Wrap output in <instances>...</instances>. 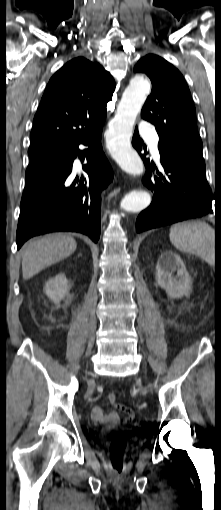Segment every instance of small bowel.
Segmentation results:
<instances>
[{"label":"small bowel","instance_id":"1","mask_svg":"<svg viewBox=\"0 0 221 510\" xmlns=\"http://www.w3.org/2000/svg\"><path fill=\"white\" fill-rule=\"evenodd\" d=\"M120 410H127L124 406L118 405L117 407ZM91 417L94 421L102 423V424H111L116 425L120 421V417L117 412H104L101 406H95L91 410Z\"/></svg>","mask_w":221,"mask_h":510}]
</instances>
